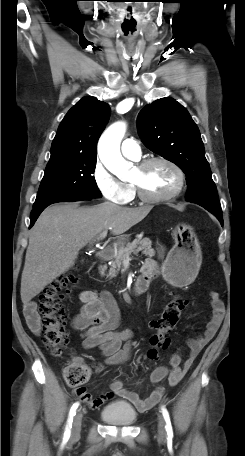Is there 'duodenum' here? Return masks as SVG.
Masks as SVG:
<instances>
[{
    "instance_id": "410a0bca",
    "label": "duodenum",
    "mask_w": 245,
    "mask_h": 456,
    "mask_svg": "<svg viewBox=\"0 0 245 456\" xmlns=\"http://www.w3.org/2000/svg\"><path fill=\"white\" fill-rule=\"evenodd\" d=\"M113 253V247L108 246L106 247L100 254L98 255V259L100 261L107 260L109 257H111ZM151 281V274L148 272H143L142 275L137 279L135 286H134V292L135 294H142L144 293Z\"/></svg>"
}]
</instances>
